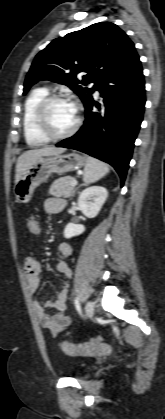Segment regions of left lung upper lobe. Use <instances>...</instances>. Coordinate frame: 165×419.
Here are the masks:
<instances>
[{"label": "left lung upper lobe", "mask_w": 165, "mask_h": 419, "mask_svg": "<svg viewBox=\"0 0 165 419\" xmlns=\"http://www.w3.org/2000/svg\"><path fill=\"white\" fill-rule=\"evenodd\" d=\"M135 50L133 42L117 25L100 22L53 40L35 57L24 83V94L39 80L70 87L84 106L101 81ZM86 73L80 81L78 73ZM94 83L91 89L82 85Z\"/></svg>", "instance_id": "left-lung-upper-lobe-1"}]
</instances>
